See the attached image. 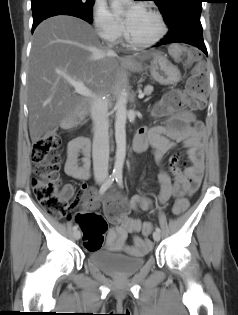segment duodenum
I'll use <instances>...</instances> for the list:
<instances>
[{"mask_svg":"<svg viewBox=\"0 0 238 315\" xmlns=\"http://www.w3.org/2000/svg\"><path fill=\"white\" fill-rule=\"evenodd\" d=\"M133 150H134L135 152H139L138 144H137V142L134 141V140H133Z\"/></svg>","mask_w":238,"mask_h":315,"instance_id":"1","label":"duodenum"}]
</instances>
